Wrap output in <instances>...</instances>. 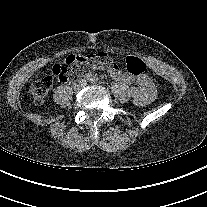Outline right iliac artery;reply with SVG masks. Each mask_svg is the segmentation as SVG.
Masks as SVG:
<instances>
[{"mask_svg": "<svg viewBox=\"0 0 207 207\" xmlns=\"http://www.w3.org/2000/svg\"><path fill=\"white\" fill-rule=\"evenodd\" d=\"M91 80H92V75L89 73L85 74L84 81L86 82V81H91Z\"/></svg>", "mask_w": 207, "mask_h": 207, "instance_id": "1", "label": "right iliac artery"}]
</instances>
